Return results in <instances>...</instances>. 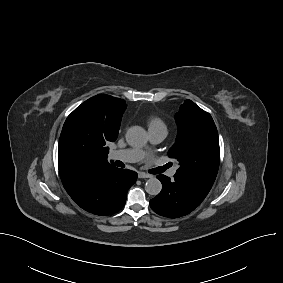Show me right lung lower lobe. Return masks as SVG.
Masks as SVG:
<instances>
[{
    "mask_svg": "<svg viewBox=\"0 0 283 283\" xmlns=\"http://www.w3.org/2000/svg\"><path fill=\"white\" fill-rule=\"evenodd\" d=\"M136 180V172L110 164L77 179L65 189L82 209L96 215H110L124 207L127 191Z\"/></svg>",
    "mask_w": 283,
    "mask_h": 283,
    "instance_id": "obj_1",
    "label": "right lung lower lobe"
}]
</instances>
